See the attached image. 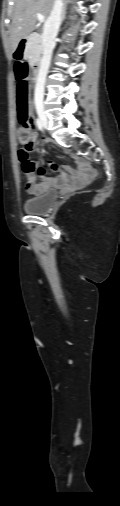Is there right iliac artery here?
<instances>
[{"label":"right iliac artery","instance_id":"right-iliac-artery-1","mask_svg":"<svg viewBox=\"0 0 120 506\" xmlns=\"http://www.w3.org/2000/svg\"><path fill=\"white\" fill-rule=\"evenodd\" d=\"M36 125H37V127H38L39 130H42L43 125H42L40 119H38V118L36 119Z\"/></svg>","mask_w":120,"mask_h":506}]
</instances>
